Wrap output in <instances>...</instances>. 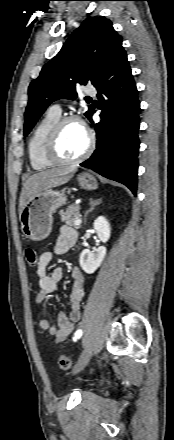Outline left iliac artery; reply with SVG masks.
Here are the masks:
<instances>
[{
	"mask_svg": "<svg viewBox=\"0 0 174 440\" xmlns=\"http://www.w3.org/2000/svg\"><path fill=\"white\" fill-rule=\"evenodd\" d=\"M82 330L81 329H79V330H77L76 332H75V334H74V337H73V340L74 341H77L81 336H82Z\"/></svg>",
	"mask_w": 174,
	"mask_h": 440,
	"instance_id": "left-iliac-artery-1",
	"label": "left iliac artery"
}]
</instances>
